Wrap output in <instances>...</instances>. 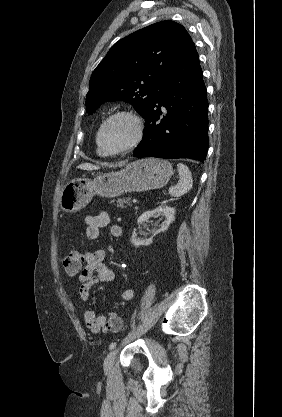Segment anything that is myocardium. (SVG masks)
Segmentation results:
<instances>
[{"label": "myocardium", "mask_w": 282, "mask_h": 417, "mask_svg": "<svg viewBox=\"0 0 282 417\" xmlns=\"http://www.w3.org/2000/svg\"><path fill=\"white\" fill-rule=\"evenodd\" d=\"M118 120H125L129 122V124L132 127V136L130 139L125 142L124 144L116 147V148H107L104 144V138L106 135V132L108 128L116 121ZM143 137V127H142V121L141 119L131 112L126 111H119L115 114L108 117L103 125L100 128L98 138H97V145L101 153L104 155H114L118 154L120 152H123L129 148L134 147L137 145Z\"/></svg>", "instance_id": "f54148a6"}]
</instances>
